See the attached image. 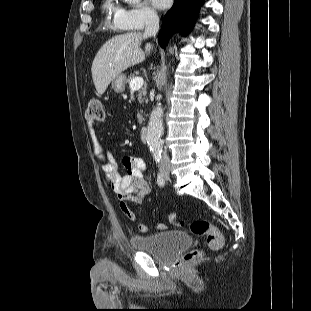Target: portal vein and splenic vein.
<instances>
[{
    "label": "portal vein and splenic vein",
    "instance_id": "1",
    "mask_svg": "<svg viewBox=\"0 0 311 311\" xmlns=\"http://www.w3.org/2000/svg\"><path fill=\"white\" fill-rule=\"evenodd\" d=\"M144 84V80L142 77H135L130 81V88L132 90L140 89Z\"/></svg>",
    "mask_w": 311,
    "mask_h": 311
}]
</instances>
